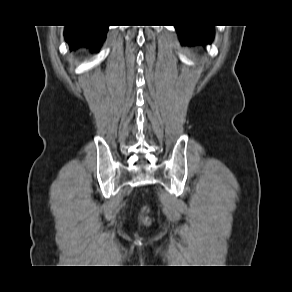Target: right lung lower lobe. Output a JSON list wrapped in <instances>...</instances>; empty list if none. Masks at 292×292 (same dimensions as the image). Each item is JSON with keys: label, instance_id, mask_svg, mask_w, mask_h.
Here are the masks:
<instances>
[{"label": "right lung lower lobe", "instance_id": "obj_1", "mask_svg": "<svg viewBox=\"0 0 292 292\" xmlns=\"http://www.w3.org/2000/svg\"><path fill=\"white\" fill-rule=\"evenodd\" d=\"M107 29L108 26L105 25L67 26L65 29V38L70 49L88 46L96 51L100 48Z\"/></svg>", "mask_w": 292, "mask_h": 292}]
</instances>
